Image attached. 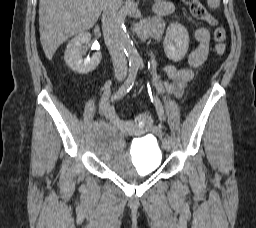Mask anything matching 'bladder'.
I'll return each mask as SVG.
<instances>
[{
  "label": "bladder",
  "mask_w": 256,
  "mask_h": 228,
  "mask_svg": "<svg viewBox=\"0 0 256 228\" xmlns=\"http://www.w3.org/2000/svg\"><path fill=\"white\" fill-rule=\"evenodd\" d=\"M89 146L110 171L126 180L151 175L162 162V151L155 139L137 140L132 146V153L127 154L123 134L112 127L96 129Z\"/></svg>",
  "instance_id": "31cf9c89"
}]
</instances>
